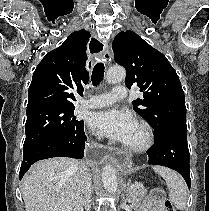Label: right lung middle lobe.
<instances>
[{"mask_svg":"<svg viewBox=\"0 0 209 211\" xmlns=\"http://www.w3.org/2000/svg\"><path fill=\"white\" fill-rule=\"evenodd\" d=\"M74 109L44 108L27 112L23 154L53 138L82 131L84 122L76 120Z\"/></svg>","mask_w":209,"mask_h":211,"instance_id":"dd1d6c3e","label":"right lung middle lobe"}]
</instances>
